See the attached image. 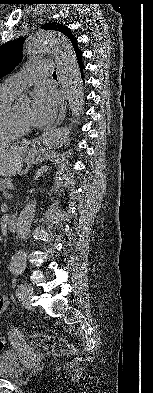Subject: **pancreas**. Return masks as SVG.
<instances>
[{
  "label": "pancreas",
  "mask_w": 153,
  "mask_h": 393,
  "mask_svg": "<svg viewBox=\"0 0 153 393\" xmlns=\"http://www.w3.org/2000/svg\"><path fill=\"white\" fill-rule=\"evenodd\" d=\"M12 186L11 178H0V191L7 192Z\"/></svg>",
  "instance_id": "pancreas-1"
}]
</instances>
